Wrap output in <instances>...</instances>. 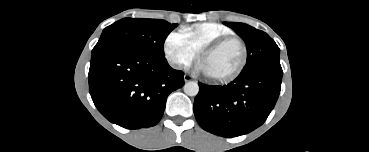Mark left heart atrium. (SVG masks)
I'll return each mask as SVG.
<instances>
[{"instance_id": "39dd6f15", "label": "left heart atrium", "mask_w": 369, "mask_h": 152, "mask_svg": "<svg viewBox=\"0 0 369 152\" xmlns=\"http://www.w3.org/2000/svg\"><path fill=\"white\" fill-rule=\"evenodd\" d=\"M198 70L201 71V72H204V68H203V65L202 64L199 65Z\"/></svg>"}]
</instances>
